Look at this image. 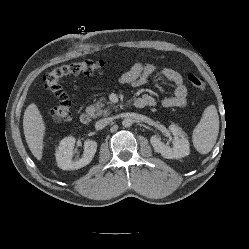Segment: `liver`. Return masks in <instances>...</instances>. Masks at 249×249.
<instances>
[{"mask_svg": "<svg viewBox=\"0 0 249 249\" xmlns=\"http://www.w3.org/2000/svg\"><path fill=\"white\" fill-rule=\"evenodd\" d=\"M23 129L26 142L37 160L42 159L45 123L35 103H31L24 112Z\"/></svg>", "mask_w": 249, "mask_h": 249, "instance_id": "liver-1", "label": "liver"}]
</instances>
